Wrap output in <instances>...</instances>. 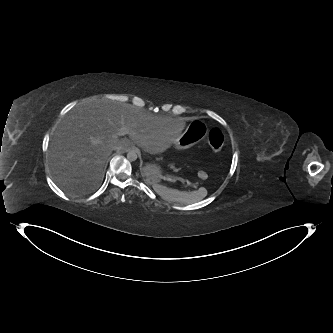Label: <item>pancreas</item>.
Wrapping results in <instances>:
<instances>
[{
	"label": "pancreas",
	"mask_w": 333,
	"mask_h": 333,
	"mask_svg": "<svg viewBox=\"0 0 333 333\" xmlns=\"http://www.w3.org/2000/svg\"><path fill=\"white\" fill-rule=\"evenodd\" d=\"M169 167L171 168V169H173V171L174 172H177L178 171V169L175 167V165L172 163V164H169Z\"/></svg>",
	"instance_id": "1"
}]
</instances>
